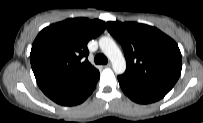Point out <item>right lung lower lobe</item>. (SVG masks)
Returning <instances> with one entry per match:
<instances>
[{
    "label": "right lung lower lobe",
    "mask_w": 203,
    "mask_h": 123,
    "mask_svg": "<svg viewBox=\"0 0 203 123\" xmlns=\"http://www.w3.org/2000/svg\"><path fill=\"white\" fill-rule=\"evenodd\" d=\"M99 77L98 72L87 79L55 82L41 87V90L51 100L60 105H77L82 103L93 92Z\"/></svg>",
    "instance_id": "obj_1"
}]
</instances>
